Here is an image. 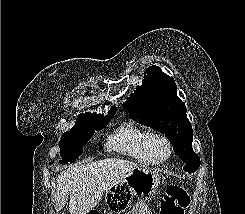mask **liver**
<instances>
[{
    "instance_id": "liver-1",
    "label": "liver",
    "mask_w": 245,
    "mask_h": 214,
    "mask_svg": "<svg viewBox=\"0 0 245 214\" xmlns=\"http://www.w3.org/2000/svg\"><path fill=\"white\" fill-rule=\"evenodd\" d=\"M137 164L118 158L90 161L62 171L57 177L56 207L69 200L71 214H86L102 199L103 193L124 179Z\"/></svg>"
}]
</instances>
